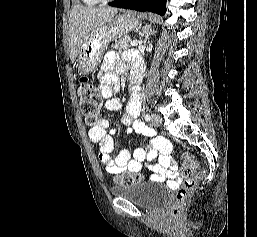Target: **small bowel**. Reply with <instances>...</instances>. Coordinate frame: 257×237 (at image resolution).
<instances>
[{"instance_id":"1","label":"small bowel","mask_w":257,"mask_h":237,"mask_svg":"<svg viewBox=\"0 0 257 237\" xmlns=\"http://www.w3.org/2000/svg\"><path fill=\"white\" fill-rule=\"evenodd\" d=\"M130 61H134L130 68L131 75L135 71L141 74L140 63L136 62L135 58H130ZM127 68L128 62H121L117 52L112 51L105 55L104 63L99 73V80L101 82L100 89L106 98L105 108L108 111L116 112L122 108L121 102L118 99L111 98V95L119 88L117 75L125 73ZM133 89L134 93L127 103L121 122L126 126V135L133 132L142 133L149 138L150 145L137 148L133 153V158H131L127 150H122L115 157H112L114 148L112 135L115 130L108 131L109 123L103 118L89 129L88 137L92 142L99 145V160L109 173L139 172L144 162H148L152 180H168L172 185H176L180 181V176L170 155L171 144L166 138L156 136L153 131L137 120L140 114L138 86H134Z\"/></svg>"}]
</instances>
